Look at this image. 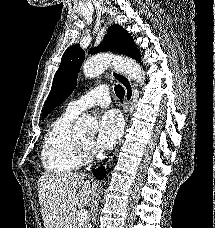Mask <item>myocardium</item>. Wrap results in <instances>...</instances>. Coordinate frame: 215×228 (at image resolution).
Masks as SVG:
<instances>
[{
  "label": "myocardium",
  "mask_w": 215,
  "mask_h": 228,
  "mask_svg": "<svg viewBox=\"0 0 215 228\" xmlns=\"http://www.w3.org/2000/svg\"><path fill=\"white\" fill-rule=\"evenodd\" d=\"M78 149H79L81 156L86 157L89 152L90 145H86L82 141H78Z\"/></svg>",
  "instance_id": "obj_1"
}]
</instances>
